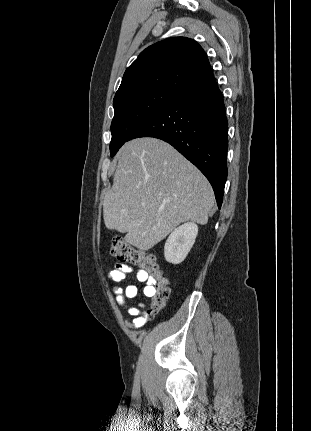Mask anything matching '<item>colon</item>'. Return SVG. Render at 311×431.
I'll use <instances>...</instances> for the list:
<instances>
[{"mask_svg":"<svg viewBox=\"0 0 311 431\" xmlns=\"http://www.w3.org/2000/svg\"><path fill=\"white\" fill-rule=\"evenodd\" d=\"M111 253L121 262H128L138 265L145 270L153 286V294L147 309V315L153 317L165 306L170 294L167 277L160 269L155 256L152 253L139 251L126 244L120 237H115L111 244Z\"/></svg>","mask_w":311,"mask_h":431,"instance_id":"5ec220e1","label":"colon"}]
</instances>
